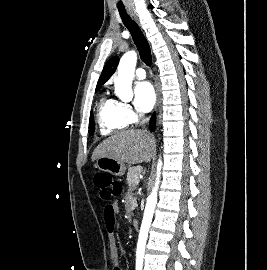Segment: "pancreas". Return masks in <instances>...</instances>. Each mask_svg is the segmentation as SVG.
Here are the masks:
<instances>
[{
  "label": "pancreas",
  "mask_w": 267,
  "mask_h": 270,
  "mask_svg": "<svg viewBox=\"0 0 267 270\" xmlns=\"http://www.w3.org/2000/svg\"><path fill=\"white\" fill-rule=\"evenodd\" d=\"M142 167L141 166H135V167H131L128 170V174H127V183L129 186V190H128V201L131 203L132 201V191L134 190L136 183H135V179L139 177L140 173L142 172Z\"/></svg>",
  "instance_id": "1"
}]
</instances>
